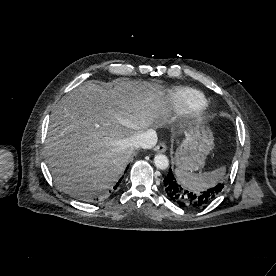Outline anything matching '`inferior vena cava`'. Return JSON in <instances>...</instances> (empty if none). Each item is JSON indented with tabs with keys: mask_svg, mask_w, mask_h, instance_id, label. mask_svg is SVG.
I'll list each match as a JSON object with an SVG mask.
<instances>
[{
	"mask_svg": "<svg viewBox=\"0 0 276 276\" xmlns=\"http://www.w3.org/2000/svg\"><path fill=\"white\" fill-rule=\"evenodd\" d=\"M157 134L154 130L149 129L138 135L133 136L130 139V144L134 148L150 149L153 148L157 143Z\"/></svg>",
	"mask_w": 276,
	"mask_h": 276,
	"instance_id": "1",
	"label": "inferior vena cava"
}]
</instances>
